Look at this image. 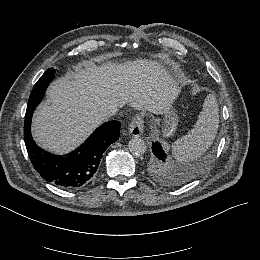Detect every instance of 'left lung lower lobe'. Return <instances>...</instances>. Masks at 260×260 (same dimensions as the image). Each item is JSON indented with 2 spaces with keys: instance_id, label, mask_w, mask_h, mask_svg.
Wrapping results in <instances>:
<instances>
[{
  "instance_id": "0a47b994",
  "label": "left lung lower lobe",
  "mask_w": 260,
  "mask_h": 260,
  "mask_svg": "<svg viewBox=\"0 0 260 260\" xmlns=\"http://www.w3.org/2000/svg\"><path fill=\"white\" fill-rule=\"evenodd\" d=\"M152 151H153V153L156 157L161 158V159L166 158V154L163 151L160 143H158V142L153 143L152 144Z\"/></svg>"
}]
</instances>
